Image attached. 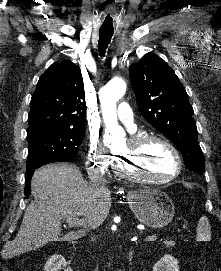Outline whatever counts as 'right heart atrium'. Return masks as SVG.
I'll return each mask as SVG.
<instances>
[{
  "mask_svg": "<svg viewBox=\"0 0 221 271\" xmlns=\"http://www.w3.org/2000/svg\"><path fill=\"white\" fill-rule=\"evenodd\" d=\"M89 156L92 167H108L107 159H111V154H104V151H97V146H90Z\"/></svg>",
  "mask_w": 221,
  "mask_h": 271,
  "instance_id": "1",
  "label": "right heart atrium"
}]
</instances>
